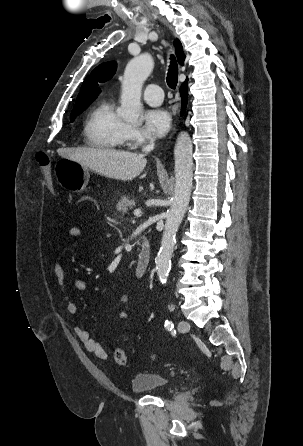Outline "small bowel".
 <instances>
[{
	"label": "small bowel",
	"mask_w": 303,
	"mask_h": 446,
	"mask_svg": "<svg viewBox=\"0 0 303 446\" xmlns=\"http://www.w3.org/2000/svg\"><path fill=\"white\" fill-rule=\"evenodd\" d=\"M67 234L72 239H78L83 235V232L79 227L73 226L68 229ZM53 273L56 277L59 289L64 296V301L66 302V307L69 314L71 315L77 314L78 311L77 305L71 300V298L67 293L66 273L60 261H56L54 263ZM72 285L76 290L81 292H86L89 289L86 281L82 279H74ZM127 300H128L127 295H123L120 298L121 303H125ZM74 333L77 336V338L84 344V347L88 352L95 354L97 357L101 359L107 358V353L103 348V346L98 341L93 339L86 329H84L81 326H76L74 328Z\"/></svg>",
	"instance_id": "obj_1"
}]
</instances>
